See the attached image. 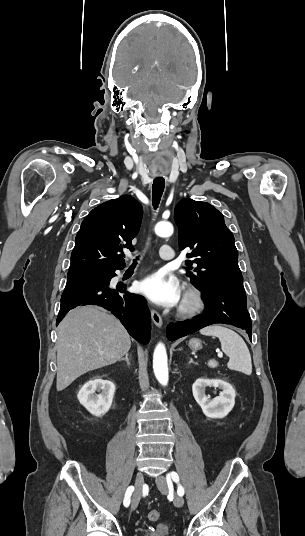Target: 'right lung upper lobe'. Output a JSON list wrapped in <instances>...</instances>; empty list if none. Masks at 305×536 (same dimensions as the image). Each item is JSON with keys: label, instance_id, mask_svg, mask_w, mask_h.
<instances>
[{"label": "right lung upper lobe", "instance_id": "right-lung-upper-lobe-1", "mask_svg": "<svg viewBox=\"0 0 305 536\" xmlns=\"http://www.w3.org/2000/svg\"><path fill=\"white\" fill-rule=\"evenodd\" d=\"M142 214V206L129 195L93 209L76 235L67 278L124 268L118 252L125 247L134 249L131 241L138 233Z\"/></svg>", "mask_w": 305, "mask_h": 536}]
</instances>
